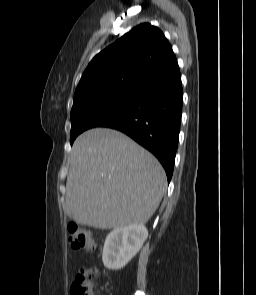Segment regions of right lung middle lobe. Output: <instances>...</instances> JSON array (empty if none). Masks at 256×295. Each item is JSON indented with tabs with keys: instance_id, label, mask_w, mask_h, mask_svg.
<instances>
[{
	"instance_id": "obj_1",
	"label": "right lung middle lobe",
	"mask_w": 256,
	"mask_h": 295,
	"mask_svg": "<svg viewBox=\"0 0 256 295\" xmlns=\"http://www.w3.org/2000/svg\"><path fill=\"white\" fill-rule=\"evenodd\" d=\"M135 98L136 92H128L92 103L74 101L71 110V144L83 131L98 127L123 112L133 104Z\"/></svg>"
}]
</instances>
